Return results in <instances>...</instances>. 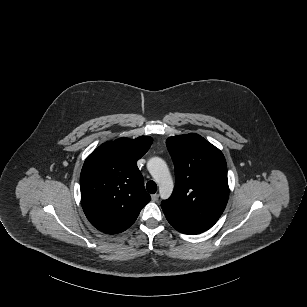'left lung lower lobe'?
I'll list each match as a JSON object with an SVG mask.
<instances>
[{"label": "left lung lower lobe", "mask_w": 307, "mask_h": 307, "mask_svg": "<svg viewBox=\"0 0 307 307\" xmlns=\"http://www.w3.org/2000/svg\"><path fill=\"white\" fill-rule=\"evenodd\" d=\"M167 220L169 221V223L176 229L178 230L179 232H182L184 234H199L198 232H194V231H190V230H187L186 228L182 227L181 225L173 222L169 217H167Z\"/></svg>", "instance_id": "0a47b994"}]
</instances>
